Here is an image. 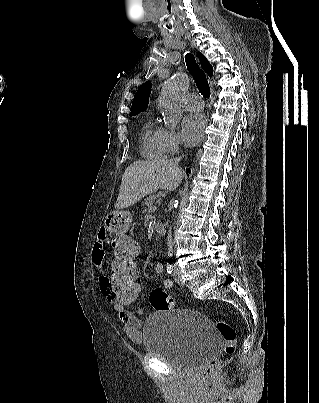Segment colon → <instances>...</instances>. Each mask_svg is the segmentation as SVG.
I'll return each instance as SVG.
<instances>
[{"instance_id": "colon-1", "label": "colon", "mask_w": 319, "mask_h": 403, "mask_svg": "<svg viewBox=\"0 0 319 403\" xmlns=\"http://www.w3.org/2000/svg\"><path fill=\"white\" fill-rule=\"evenodd\" d=\"M113 248L111 253L110 272L113 273V300L116 304H128L129 313H140L139 304L140 282L134 278V268L140 267L141 242L138 234H113ZM149 302L157 311L171 310L175 307L174 299L161 288L154 289L149 295ZM217 329L224 341V352L232 354L236 347V332L225 321L217 323ZM220 366L219 359H212L203 373V378L208 380L211 373Z\"/></svg>"}]
</instances>
